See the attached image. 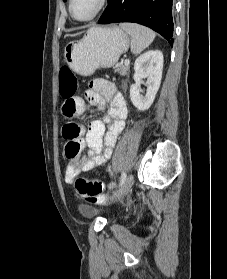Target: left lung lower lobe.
<instances>
[{
	"label": "left lung lower lobe",
	"mask_w": 227,
	"mask_h": 279,
	"mask_svg": "<svg viewBox=\"0 0 227 279\" xmlns=\"http://www.w3.org/2000/svg\"><path fill=\"white\" fill-rule=\"evenodd\" d=\"M173 0H108L99 24L134 22L161 34L173 45Z\"/></svg>",
	"instance_id": "1"
}]
</instances>
